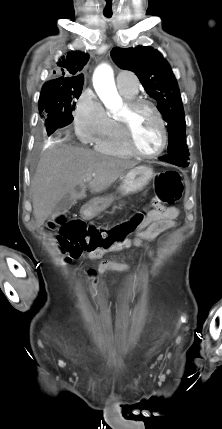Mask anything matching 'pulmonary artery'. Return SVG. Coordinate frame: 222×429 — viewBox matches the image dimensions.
I'll return each instance as SVG.
<instances>
[{
	"label": "pulmonary artery",
	"mask_w": 222,
	"mask_h": 429,
	"mask_svg": "<svg viewBox=\"0 0 222 429\" xmlns=\"http://www.w3.org/2000/svg\"><path fill=\"white\" fill-rule=\"evenodd\" d=\"M117 87L120 92L127 94H136L138 91V81L136 76L127 71H122L116 78Z\"/></svg>",
	"instance_id": "obj_1"
}]
</instances>
